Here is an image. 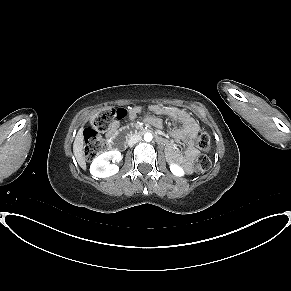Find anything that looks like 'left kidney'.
I'll use <instances>...</instances> for the list:
<instances>
[{"mask_svg": "<svg viewBox=\"0 0 291 291\" xmlns=\"http://www.w3.org/2000/svg\"><path fill=\"white\" fill-rule=\"evenodd\" d=\"M170 170L174 175L179 177H182L185 174L183 168L175 163L170 164Z\"/></svg>", "mask_w": 291, "mask_h": 291, "instance_id": "left-kidney-1", "label": "left kidney"}]
</instances>
